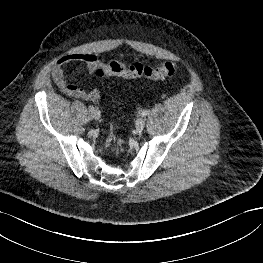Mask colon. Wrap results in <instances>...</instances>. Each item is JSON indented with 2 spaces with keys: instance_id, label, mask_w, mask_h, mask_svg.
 I'll list each match as a JSON object with an SVG mask.
<instances>
[{
  "instance_id": "obj_1",
  "label": "colon",
  "mask_w": 263,
  "mask_h": 263,
  "mask_svg": "<svg viewBox=\"0 0 263 263\" xmlns=\"http://www.w3.org/2000/svg\"><path fill=\"white\" fill-rule=\"evenodd\" d=\"M177 64L173 61H163L156 66H147L141 63L125 64L119 61H111L99 67L96 71L100 77L117 76L126 79H150L164 80L175 74ZM123 141H117L120 147Z\"/></svg>"
}]
</instances>
